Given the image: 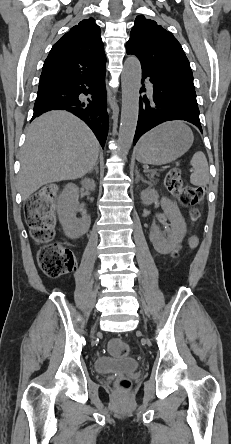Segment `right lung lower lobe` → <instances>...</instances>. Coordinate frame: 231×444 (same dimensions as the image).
I'll return each mask as SVG.
<instances>
[{
    "label": "right lung lower lobe",
    "mask_w": 231,
    "mask_h": 444,
    "mask_svg": "<svg viewBox=\"0 0 231 444\" xmlns=\"http://www.w3.org/2000/svg\"><path fill=\"white\" fill-rule=\"evenodd\" d=\"M80 94H91V98L82 100ZM55 109L70 111L85 121L104 147L108 132L105 71L95 76L39 88L32 119Z\"/></svg>",
    "instance_id": "98d812e1"
}]
</instances>
